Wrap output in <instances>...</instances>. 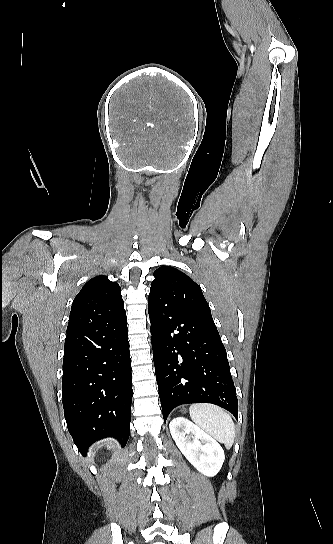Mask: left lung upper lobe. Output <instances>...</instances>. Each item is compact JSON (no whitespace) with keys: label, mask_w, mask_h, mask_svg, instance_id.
I'll use <instances>...</instances> for the list:
<instances>
[{"label":"left lung upper lobe","mask_w":333,"mask_h":544,"mask_svg":"<svg viewBox=\"0 0 333 544\" xmlns=\"http://www.w3.org/2000/svg\"><path fill=\"white\" fill-rule=\"evenodd\" d=\"M154 277L148 302L212 319L211 310L200 286L185 273L173 267L162 266L154 272Z\"/></svg>","instance_id":"left-lung-upper-lobe-1"}]
</instances>
